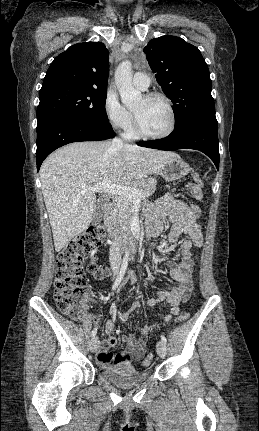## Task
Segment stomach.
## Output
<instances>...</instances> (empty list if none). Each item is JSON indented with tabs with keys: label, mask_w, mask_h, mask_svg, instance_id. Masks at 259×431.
Segmentation results:
<instances>
[{
	"label": "stomach",
	"mask_w": 259,
	"mask_h": 431,
	"mask_svg": "<svg viewBox=\"0 0 259 431\" xmlns=\"http://www.w3.org/2000/svg\"><path fill=\"white\" fill-rule=\"evenodd\" d=\"M190 171L189 164L174 153L162 163L157 173L166 181H175L185 177Z\"/></svg>",
	"instance_id": "stomach-1"
}]
</instances>
